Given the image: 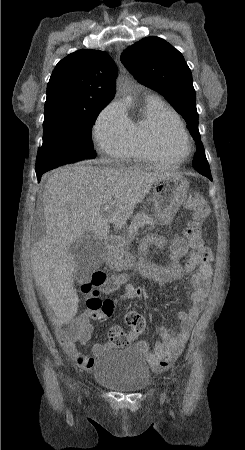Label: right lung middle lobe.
Masks as SVG:
<instances>
[{"mask_svg": "<svg viewBox=\"0 0 245 450\" xmlns=\"http://www.w3.org/2000/svg\"><path fill=\"white\" fill-rule=\"evenodd\" d=\"M108 104L91 110L53 108L45 112L43 144L38 151L36 172L97 156L91 140L92 123Z\"/></svg>", "mask_w": 245, "mask_h": 450, "instance_id": "1", "label": "right lung middle lobe"}]
</instances>
